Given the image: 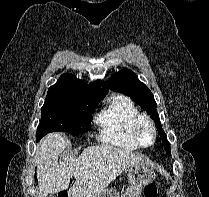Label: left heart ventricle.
<instances>
[{
	"instance_id": "b2bd125f",
	"label": "left heart ventricle",
	"mask_w": 209,
	"mask_h": 197,
	"mask_svg": "<svg viewBox=\"0 0 209 197\" xmlns=\"http://www.w3.org/2000/svg\"><path fill=\"white\" fill-rule=\"evenodd\" d=\"M142 140L145 144H149L152 141V132L149 127L144 126L142 128Z\"/></svg>"
}]
</instances>
